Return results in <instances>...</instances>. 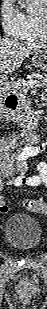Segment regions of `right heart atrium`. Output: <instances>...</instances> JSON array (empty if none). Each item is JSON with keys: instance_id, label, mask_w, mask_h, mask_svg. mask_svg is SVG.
<instances>
[{"instance_id": "1", "label": "right heart atrium", "mask_w": 47, "mask_h": 309, "mask_svg": "<svg viewBox=\"0 0 47 309\" xmlns=\"http://www.w3.org/2000/svg\"><path fill=\"white\" fill-rule=\"evenodd\" d=\"M0 20L4 33L10 38L18 39L23 29V14L14 0H1Z\"/></svg>"}]
</instances>
